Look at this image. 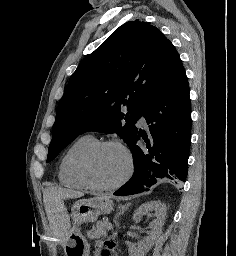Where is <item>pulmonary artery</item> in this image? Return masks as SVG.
I'll list each match as a JSON object with an SVG mask.
<instances>
[{"instance_id":"e3ab8cb5","label":"pulmonary artery","mask_w":236,"mask_h":256,"mask_svg":"<svg viewBox=\"0 0 236 256\" xmlns=\"http://www.w3.org/2000/svg\"><path fill=\"white\" fill-rule=\"evenodd\" d=\"M141 122L144 123L145 122V118L142 116L141 118Z\"/></svg>"}]
</instances>
